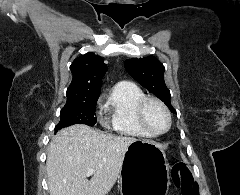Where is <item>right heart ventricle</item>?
Returning <instances> with one entry per match:
<instances>
[{
    "instance_id": "right-heart-ventricle-1",
    "label": "right heart ventricle",
    "mask_w": 240,
    "mask_h": 195,
    "mask_svg": "<svg viewBox=\"0 0 240 195\" xmlns=\"http://www.w3.org/2000/svg\"><path fill=\"white\" fill-rule=\"evenodd\" d=\"M145 97L142 89L131 82H120L112 89L106 104L108 121L105 126L118 136L135 138H150L148 133L139 123L137 106Z\"/></svg>"
}]
</instances>
